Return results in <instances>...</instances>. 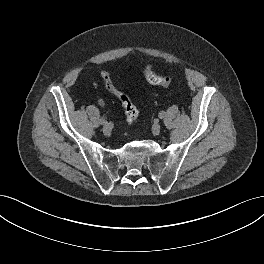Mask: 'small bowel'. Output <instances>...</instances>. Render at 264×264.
I'll list each match as a JSON object with an SVG mask.
<instances>
[{"label":"small bowel","mask_w":264,"mask_h":264,"mask_svg":"<svg viewBox=\"0 0 264 264\" xmlns=\"http://www.w3.org/2000/svg\"><path fill=\"white\" fill-rule=\"evenodd\" d=\"M99 104H100L101 106H104L105 103H104V101H103L102 99H100V100H99Z\"/></svg>","instance_id":"c3829d8e"}]
</instances>
